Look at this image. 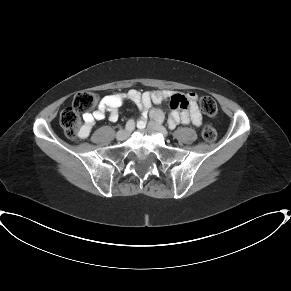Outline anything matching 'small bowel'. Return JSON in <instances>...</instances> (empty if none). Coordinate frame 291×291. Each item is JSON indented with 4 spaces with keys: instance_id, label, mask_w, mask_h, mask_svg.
<instances>
[{
    "instance_id": "obj_1",
    "label": "small bowel",
    "mask_w": 291,
    "mask_h": 291,
    "mask_svg": "<svg viewBox=\"0 0 291 291\" xmlns=\"http://www.w3.org/2000/svg\"><path fill=\"white\" fill-rule=\"evenodd\" d=\"M177 101L178 108L171 112L169 125L175 127L178 123H192L194 126H200L202 115L198 108V96L193 93L179 94L168 90H156L140 93L137 90H129L125 94L112 93L105 96L98 104L96 110L92 113L83 115V124L79 128V138L84 139L89 136L97 121L105 118L108 113L109 120L115 122L119 118V107L125 101L133 102L140 110V127H145V117L152 103L159 104L164 101ZM183 102H188L191 107L183 109Z\"/></svg>"
}]
</instances>
